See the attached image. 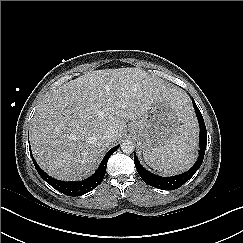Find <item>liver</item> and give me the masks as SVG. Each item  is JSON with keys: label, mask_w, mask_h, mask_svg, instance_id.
Returning a JSON list of instances; mask_svg holds the SVG:
<instances>
[{"label": "liver", "mask_w": 243, "mask_h": 243, "mask_svg": "<svg viewBox=\"0 0 243 243\" xmlns=\"http://www.w3.org/2000/svg\"><path fill=\"white\" fill-rule=\"evenodd\" d=\"M160 100L171 102L180 121L190 123L187 94L146 71L128 67L88 72L40 103L30 129L32 153L54 178H86L122 138L127 121L141 118ZM109 129L115 135L105 141L102 136Z\"/></svg>", "instance_id": "6515ba94"}]
</instances>
